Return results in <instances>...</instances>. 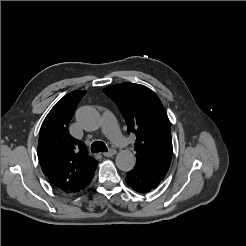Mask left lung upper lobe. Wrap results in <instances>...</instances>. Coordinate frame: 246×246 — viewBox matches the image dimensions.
I'll list each match as a JSON object with an SVG mask.
<instances>
[{"label": "left lung upper lobe", "instance_id": "obj_1", "mask_svg": "<svg viewBox=\"0 0 246 246\" xmlns=\"http://www.w3.org/2000/svg\"><path fill=\"white\" fill-rule=\"evenodd\" d=\"M103 92L120 109L128 133L136 135V166L164 179L171 162L172 140L167 113L149 88L125 82L108 86Z\"/></svg>", "mask_w": 246, "mask_h": 246}]
</instances>
